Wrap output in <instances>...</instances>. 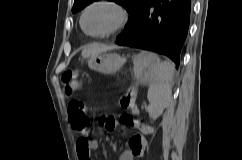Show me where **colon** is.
I'll return each mask as SVG.
<instances>
[{"label": "colon", "mask_w": 242, "mask_h": 160, "mask_svg": "<svg viewBox=\"0 0 242 160\" xmlns=\"http://www.w3.org/2000/svg\"><path fill=\"white\" fill-rule=\"evenodd\" d=\"M62 84L64 93L68 96L78 90L81 87L78 70L75 68L66 70L62 75ZM120 102L123 108L130 111V113L123 114L120 117V122L126 125H133L136 122L133 117V111L135 108V90L133 88H129L122 96ZM69 111L75 126L80 128H86L88 126L89 119L79 102H72L69 105Z\"/></svg>", "instance_id": "5ec220e1"}]
</instances>
